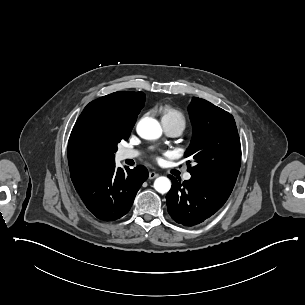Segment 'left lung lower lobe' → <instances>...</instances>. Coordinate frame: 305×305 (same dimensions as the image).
<instances>
[{"label": "left lung lower lobe", "mask_w": 305, "mask_h": 305, "mask_svg": "<svg viewBox=\"0 0 305 305\" xmlns=\"http://www.w3.org/2000/svg\"><path fill=\"white\" fill-rule=\"evenodd\" d=\"M171 190L166 195L167 208L174 221L194 226L217 212L227 201L234 185L191 177L183 183L169 175Z\"/></svg>", "instance_id": "obj_1"}]
</instances>
